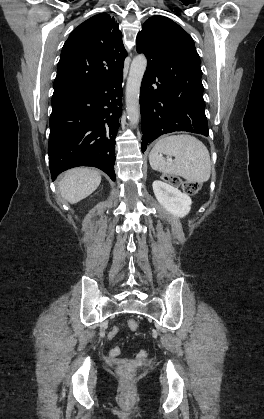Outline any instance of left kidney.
Returning <instances> with one entry per match:
<instances>
[{
    "label": "left kidney",
    "instance_id": "1",
    "mask_svg": "<svg viewBox=\"0 0 264 419\" xmlns=\"http://www.w3.org/2000/svg\"><path fill=\"white\" fill-rule=\"evenodd\" d=\"M152 186L157 201L169 213L182 218L190 212L192 200L187 194L161 180H155Z\"/></svg>",
    "mask_w": 264,
    "mask_h": 419
}]
</instances>
